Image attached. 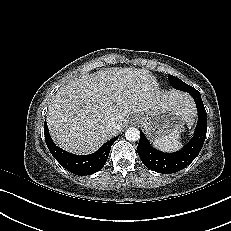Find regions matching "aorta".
<instances>
[{
	"mask_svg": "<svg viewBox=\"0 0 231 231\" xmlns=\"http://www.w3.org/2000/svg\"><path fill=\"white\" fill-rule=\"evenodd\" d=\"M125 137L128 141L135 142L140 138V132L135 127H130L125 132Z\"/></svg>",
	"mask_w": 231,
	"mask_h": 231,
	"instance_id": "obj_1",
	"label": "aorta"
}]
</instances>
